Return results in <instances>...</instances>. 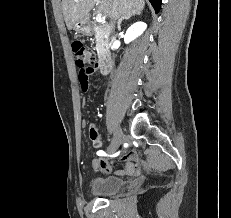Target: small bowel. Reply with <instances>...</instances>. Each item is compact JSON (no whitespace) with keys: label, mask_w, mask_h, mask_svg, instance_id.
Listing matches in <instances>:
<instances>
[{"label":"small bowel","mask_w":231,"mask_h":218,"mask_svg":"<svg viewBox=\"0 0 231 218\" xmlns=\"http://www.w3.org/2000/svg\"><path fill=\"white\" fill-rule=\"evenodd\" d=\"M98 66L99 65L97 63H94L93 66H85V69H78L80 85L84 92L88 89L89 77L94 74V71ZM84 125L85 124L83 123L82 126ZM89 137L95 148H101L102 142L100 134L94 125H91L89 128ZM117 164L119 166L115 169ZM91 166L94 169L100 168L106 173H111L114 171L115 174L120 176L135 175L140 170V158L136 152L131 151L120 156L116 162H109L103 158L93 159L91 161Z\"/></svg>","instance_id":"small-bowel-1"}]
</instances>
